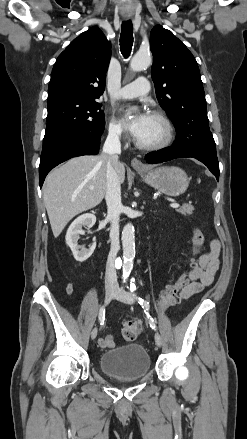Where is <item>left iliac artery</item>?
<instances>
[{
    "mask_svg": "<svg viewBox=\"0 0 247 439\" xmlns=\"http://www.w3.org/2000/svg\"><path fill=\"white\" fill-rule=\"evenodd\" d=\"M135 296V298L137 299V301H138V303L142 306V308L144 309V311H145V313L148 315V318H149V309H150V304H149V302L148 301H146V300H144L143 298H141V297H138L137 295H134ZM149 323H150V327L153 329V330H156V324H155V321L152 319V318H150L149 319Z\"/></svg>",
    "mask_w": 247,
    "mask_h": 439,
    "instance_id": "44dca946",
    "label": "left iliac artery"
}]
</instances>
